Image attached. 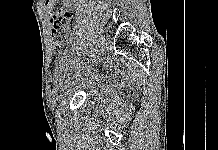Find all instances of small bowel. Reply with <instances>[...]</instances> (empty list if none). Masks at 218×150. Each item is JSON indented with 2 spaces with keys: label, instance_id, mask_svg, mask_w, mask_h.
I'll list each match as a JSON object with an SVG mask.
<instances>
[{
  "label": "small bowel",
  "instance_id": "small-bowel-1",
  "mask_svg": "<svg viewBox=\"0 0 218 150\" xmlns=\"http://www.w3.org/2000/svg\"><path fill=\"white\" fill-rule=\"evenodd\" d=\"M56 2L57 0H45L46 9L52 24V33L56 29H68L74 8V0H63L62 7L55 10Z\"/></svg>",
  "mask_w": 218,
  "mask_h": 150
}]
</instances>
